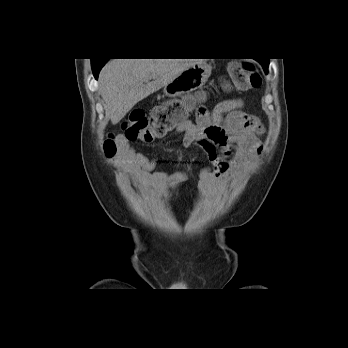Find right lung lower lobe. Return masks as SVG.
Masks as SVG:
<instances>
[{
    "mask_svg": "<svg viewBox=\"0 0 348 348\" xmlns=\"http://www.w3.org/2000/svg\"><path fill=\"white\" fill-rule=\"evenodd\" d=\"M104 61H107V60H104ZM104 61L101 62V63H94V64H92V70H93V73H94V76H95L96 79L98 77V73H99L101 67L104 65Z\"/></svg>",
    "mask_w": 348,
    "mask_h": 348,
    "instance_id": "obj_1",
    "label": "right lung lower lobe"
}]
</instances>
